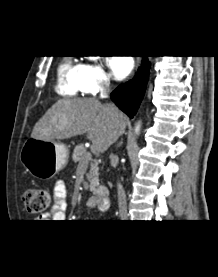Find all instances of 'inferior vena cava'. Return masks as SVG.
<instances>
[{"instance_id":"inferior-vena-cava-1","label":"inferior vena cava","mask_w":218,"mask_h":277,"mask_svg":"<svg viewBox=\"0 0 218 277\" xmlns=\"http://www.w3.org/2000/svg\"><path fill=\"white\" fill-rule=\"evenodd\" d=\"M110 92L109 83L104 82L101 85L100 88V98H108ZM111 107H115L113 104H108ZM117 194H118V206H119V216L121 220H126L127 215V201H126V194L122 187V185L119 183L117 187Z\"/></svg>"}]
</instances>
